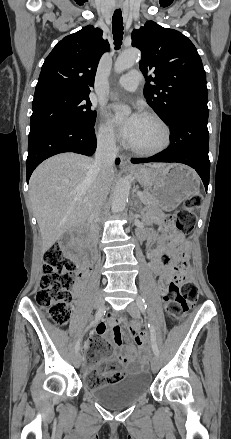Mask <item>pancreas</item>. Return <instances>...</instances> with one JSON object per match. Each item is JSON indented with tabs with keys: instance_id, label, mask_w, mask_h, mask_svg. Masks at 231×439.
Listing matches in <instances>:
<instances>
[{
	"instance_id": "obj_1",
	"label": "pancreas",
	"mask_w": 231,
	"mask_h": 439,
	"mask_svg": "<svg viewBox=\"0 0 231 439\" xmlns=\"http://www.w3.org/2000/svg\"><path fill=\"white\" fill-rule=\"evenodd\" d=\"M142 193L143 195L140 197L142 203L146 205H153V206L157 204L156 197L148 190H144Z\"/></svg>"
}]
</instances>
